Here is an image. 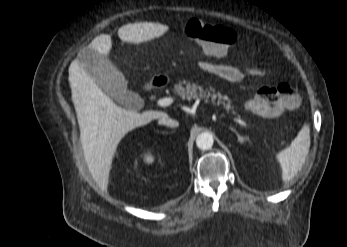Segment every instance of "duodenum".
Here are the masks:
<instances>
[{
	"label": "duodenum",
	"instance_id": "duodenum-1",
	"mask_svg": "<svg viewBox=\"0 0 347 247\" xmlns=\"http://www.w3.org/2000/svg\"><path fill=\"white\" fill-rule=\"evenodd\" d=\"M165 85V82L162 80V78H154L153 80L147 82L144 85V90L145 91H152L156 88L163 87Z\"/></svg>",
	"mask_w": 347,
	"mask_h": 247
}]
</instances>
